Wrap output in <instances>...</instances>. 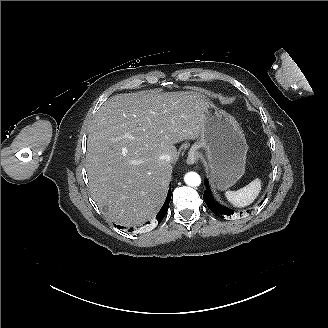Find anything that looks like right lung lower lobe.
Wrapping results in <instances>:
<instances>
[{
  "label": "right lung lower lobe",
  "instance_id": "obj_1",
  "mask_svg": "<svg viewBox=\"0 0 328 328\" xmlns=\"http://www.w3.org/2000/svg\"><path fill=\"white\" fill-rule=\"evenodd\" d=\"M170 199H171V188L169 189V192H168V195H167V198H166V201L164 203V205L162 206L161 210L159 211V213L156 215V218L154 220V222L156 223H160L162 221V219L164 218V216L166 215L167 213V210H168V207H169V202H170ZM150 222H148L149 224ZM118 228H122L121 226H117ZM131 231V230H129Z\"/></svg>",
  "mask_w": 328,
  "mask_h": 328
}]
</instances>
